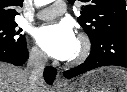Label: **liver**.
<instances>
[{
    "instance_id": "liver-1",
    "label": "liver",
    "mask_w": 127,
    "mask_h": 92,
    "mask_svg": "<svg viewBox=\"0 0 127 92\" xmlns=\"http://www.w3.org/2000/svg\"><path fill=\"white\" fill-rule=\"evenodd\" d=\"M29 72L0 61V92H32ZM38 92H50L45 84L39 86Z\"/></svg>"
}]
</instances>
